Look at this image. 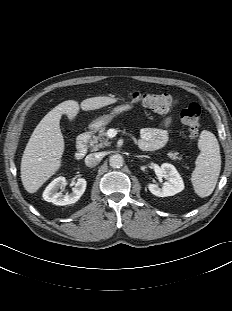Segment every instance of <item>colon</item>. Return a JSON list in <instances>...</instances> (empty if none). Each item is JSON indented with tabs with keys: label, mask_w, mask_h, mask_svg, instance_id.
I'll list each match as a JSON object with an SVG mask.
<instances>
[{
	"label": "colon",
	"mask_w": 232,
	"mask_h": 311,
	"mask_svg": "<svg viewBox=\"0 0 232 311\" xmlns=\"http://www.w3.org/2000/svg\"><path fill=\"white\" fill-rule=\"evenodd\" d=\"M130 100L158 113L170 112L176 106V101L166 93L133 92L130 94ZM200 115L201 109L197 103H190L181 111V119L192 139L199 135Z\"/></svg>",
	"instance_id": "colon-1"
}]
</instances>
